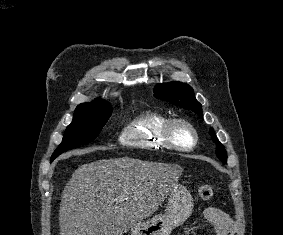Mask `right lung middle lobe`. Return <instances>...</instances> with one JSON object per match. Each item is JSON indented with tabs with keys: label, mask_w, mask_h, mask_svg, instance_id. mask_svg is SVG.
Returning <instances> with one entry per match:
<instances>
[{
	"label": "right lung middle lobe",
	"mask_w": 283,
	"mask_h": 235,
	"mask_svg": "<svg viewBox=\"0 0 283 235\" xmlns=\"http://www.w3.org/2000/svg\"><path fill=\"white\" fill-rule=\"evenodd\" d=\"M110 116L111 108L108 105L78 106L72 123L66 128L62 143L51 156V161L74 146L92 142Z\"/></svg>",
	"instance_id": "dd1d6c3e"
}]
</instances>
